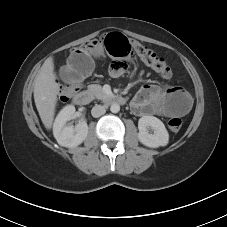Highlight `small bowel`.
Listing matches in <instances>:
<instances>
[{
  "label": "small bowel",
  "instance_id": "1",
  "mask_svg": "<svg viewBox=\"0 0 227 227\" xmlns=\"http://www.w3.org/2000/svg\"><path fill=\"white\" fill-rule=\"evenodd\" d=\"M102 51L94 53L101 55ZM93 68L92 54H84L81 51L72 52L67 58V65L60 71L61 80L67 85H78L87 78ZM126 65L113 63L110 75L114 78L123 76ZM192 99L188 92L180 87L161 88L157 85L146 84L134 96L131 107L139 116L161 115L182 116L191 108Z\"/></svg>",
  "mask_w": 227,
  "mask_h": 227
}]
</instances>
